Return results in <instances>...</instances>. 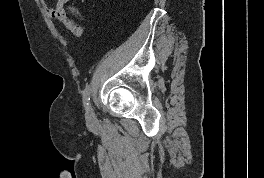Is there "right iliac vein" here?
Listing matches in <instances>:
<instances>
[{
  "label": "right iliac vein",
  "instance_id": "63e3f726",
  "mask_svg": "<svg viewBox=\"0 0 264 178\" xmlns=\"http://www.w3.org/2000/svg\"><path fill=\"white\" fill-rule=\"evenodd\" d=\"M86 119L89 124H94L95 122V115L91 105H89L88 108L86 109Z\"/></svg>",
  "mask_w": 264,
  "mask_h": 178
}]
</instances>
